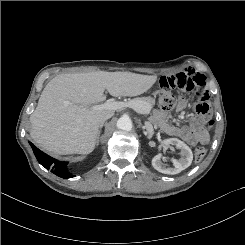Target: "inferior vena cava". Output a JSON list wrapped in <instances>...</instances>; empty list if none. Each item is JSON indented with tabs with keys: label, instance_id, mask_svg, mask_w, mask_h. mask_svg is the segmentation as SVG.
<instances>
[{
	"label": "inferior vena cava",
	"instance_id": "602c4592",
	"mask_svg": "<svg viewBox=\"0 0 245 245\" xmlns=\"http://www.w3.org/2000/svg\"><path fill=\"white\" fill-rule=\"evenodd\" d=\"M113 116V113H110V114H107L105 115L103 118H102V122H101V125L109 118H111Z\"/></svg>",
	"mask_w": 245,
	"mask_h": 245
}]
</instances>
